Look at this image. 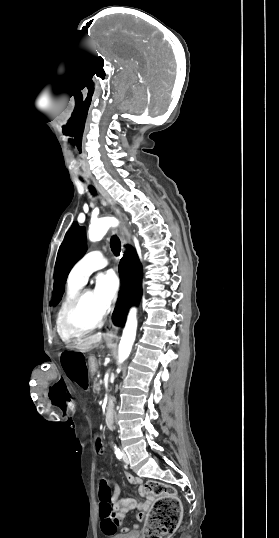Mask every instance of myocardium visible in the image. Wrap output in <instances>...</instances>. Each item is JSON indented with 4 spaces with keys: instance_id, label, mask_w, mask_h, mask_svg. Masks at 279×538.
Instances as JSON below:
<instances>
[{
    "instance_id": "f54148a6",
    "label": "myocardium",
    "mask_w": 279,
    "mask_h": 538,
    "mask_svg": "<svg viewBox=\"0 0 279 538\" xmlns=\"http://www.w3.org/2000/svg\"><path fill=\"white\" fill-rule=\"evenodd\" d=\"M89 291L91 290L88 288L81 289L77 293V295L66 306L61 316V321H60L61 329L67 336L71 338H80L82 336H85L87 334L94 332L96 329H98L101 326L106 316V314L104 313L94 323L88 326H78L75 323L74 321L75 312L82 306V304L85 301L86 295Z\"/></svg>"
}]
</instances>
